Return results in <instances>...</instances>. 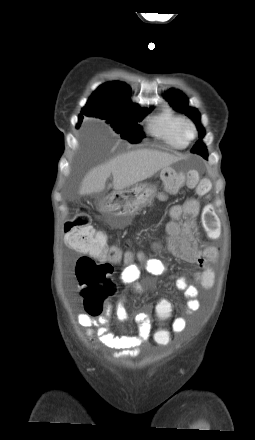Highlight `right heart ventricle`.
Returning <instances> with one entry per match:
<instances>
[{
    "label": "right heart ventricle",
    "mask_w": 255,
    "mask_h": 440,
    "mask_svg": "<svg viewBox=\"0 0 255 440\" xmlns=\"http://www.w3.org/2000/svg\"><path fill=\"white\" fill-rule=\"evenodd\" d=\"M184 118L170 108L163 109L149 124L150 133L171 148L182 149L187 142L180 135Z\"/></svg>",
    "instance_id": "1"
}]
</instances>
